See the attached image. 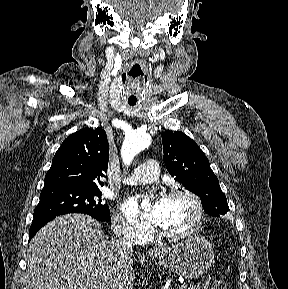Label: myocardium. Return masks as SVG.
Wrapping results in <instances>:
<instances>
[{
	"label": "myocardium",
	"instance_id": "obj_1",
	"mask_svg": "<svg viewBox=\"0 0 288 289\" xmlns=\"http://www.w3.org/2000/svg\"><path fill=\"white\" fill-rule=\"evenodd\" d=\"M178 197H185L189 199L195 208V217L192 224L183 231L171 232L163 228L159 229V233L168 239H185L194 236L200 229L203 218H204V208L201 199L194 192L187 189H174L167 192L164 199H173Z\"/></svg>",
	"mask_w": 288,
	"mask_h": 289
}]
</instances>
